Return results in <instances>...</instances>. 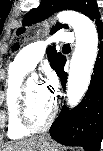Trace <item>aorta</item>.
I'll use <instances>...</instances> for the list:
<instances>
[{"mask_svg": "<svg viewBox=\"0 0 103 151\" xmlns=\"http://www.w3.org/2000/svg\"><path fill=\"white\" fill-rule=\"evenodd\" d=\"M61 23L70 25L75 32L73 52L67 82V101L76 106L86 93L98 52V34L95 24L85 15L75 11H62L56 16Z\"/></svg>", "mask_w": 103, "mask_h": 151, "instance_id": "obj_1", "label": "aorta"}]
</instances>
